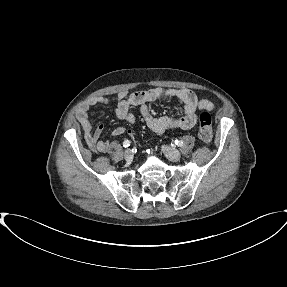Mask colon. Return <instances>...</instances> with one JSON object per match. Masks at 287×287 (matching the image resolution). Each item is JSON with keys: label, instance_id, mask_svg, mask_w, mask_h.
I'll return each instance as SVG.
<instances>
[{"label": "colon", "instance_id": "colon-1", "mask_svg": "<svg viewBox=\"0 0 287 287\" xmlns=\"http://www.w3.org/2000/svg\"><path fill=\"white\" fill-rule=\"evenodd\" d=\"M212 118L210 114L206 111H203L199 115V139L205 143L209 144L212 140Z\"/></svg>", "mask_w": 287, "mask_h": 287}]
</instances>
